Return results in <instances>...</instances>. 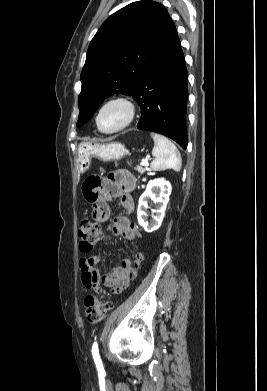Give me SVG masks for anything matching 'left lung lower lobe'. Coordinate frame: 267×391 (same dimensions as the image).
<instances>
[{"label": "left lung lower lobe", "instance_id": "0a47b994", "mask_svg": "<svg viewBox=\"0 0 267 391\" xmlns=\"http://www.w3.org/2000/svg\"><path fill=\"white\" fill-rule=\"evenodd\" d=\"M188 74L178 35L160 51L137 85L138 129L161 133L187 147Z\"/></svg>", "mask_w": 267, "mask_h": 391}]
</instances>
